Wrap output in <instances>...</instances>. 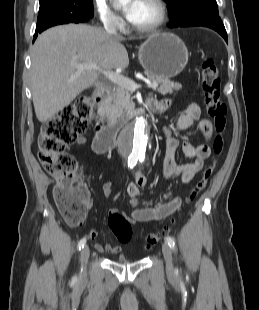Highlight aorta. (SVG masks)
Listing matches in <instances>:
<instances>
[{
  "mask_svg": "<svg viewBox=\"0 0 259 310\" xmlns=\"http://www.w3.org/2000/svg\"><path fill=\"white\" fill-rule=\"evenodd\" d=\"M126 4L130 0H119ZM121 149L128 156H143L147 149V121L143 117L137 118L121 135Z\"/></svg>",
  "mask_w": 259,
  "mask_h": 310,
  "instance_id": "obj_1",
  "label": "aorta"
}]
</instances>
